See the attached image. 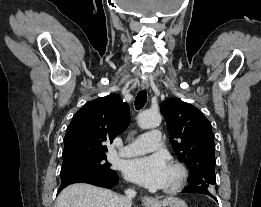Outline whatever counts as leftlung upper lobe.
Returning a JSON list of instances; mask_svg holds the SVG:
<instances>
[{
    "mask_svg": "<svg viewBox=\"0 0 261 207\" xmlns=\"http://www.w3.org/2000/svg\"><path fill=\"white\" fill-rule=\"evenodd\" d=\"M177 158L190 169L191 186L211 187L215 178V144L211 123L193 105L177 98L161 104Z\"/></svg>",
    "mask_w": 261,
    "mask_h": 207,
    "instance_id": "obj_1",
    "label": "left lung upper lobe"
}]
</instances>
